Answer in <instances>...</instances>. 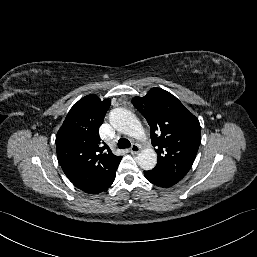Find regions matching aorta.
Instances as JSON below:
<instances>
[{
  "label": "aorta",
  "mask_w": 257,
  "mask_h": 257,
  "mask_svg": "<svg viewBox=\"0 0 257 257\" xmlns=\"http://www.w3.org/2000/svg\"><path fill=\"white\" fill-rule=\"evenodd\" d=\"M109 122L120 133L139 140L146 138L141 123L136 116L127 109L115 108L111 110ZM136 162L143 170H151L157 163V155L152 148H146L137 155Z\"/></svg>",
  "instance_id": "aorta-1"
}]
</instances>
